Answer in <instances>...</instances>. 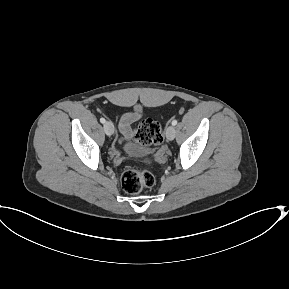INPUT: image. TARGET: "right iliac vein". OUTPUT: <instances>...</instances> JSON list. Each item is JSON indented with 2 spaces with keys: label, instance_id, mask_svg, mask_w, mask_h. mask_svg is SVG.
I'll use <instances>...</instances> for the list:
<instances>
[{
  "label": "right iliac vein",
  "instance_id": "right-iliac-vein-1",
  "mask_svg": "<svg viewBox=\"0 0 289 289\" xmlns=\"http://www.w3.org/2000/svg\"><path fill=\"white\" fill-rule=\"evenodd\" d=\"M104 131L107 135L111 136L114 133V126L111 122L107 121L104 124Z\"/></svg>",
  "mask_w": 289,
  "mask_h": 289
}]
</instances>
